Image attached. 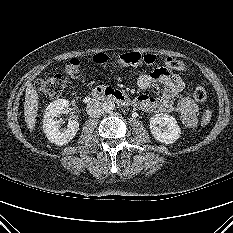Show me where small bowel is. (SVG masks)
<instances>
[{"mask_svg":"<svg viewBox=\"0 0 233 233\" xmlns=\"http://www.w3.org/2000/svg\"><path fill=\"white\" fill-rule=\"evenodd\" d=\"M155 83L163 86L162 96L151 97L140 94L134 101L135 105L148 113L176 112L184 126L195 127L198 113L197 101L188 97L178 98L185 87L182 78L164 67L156 68L150 74H143L138 78V86L141 89H148Z\"/></svg>","mask_w":233,"mask_h":233,"instance_id":"c3829d8e","label":"small bowel"}]
</instances>
